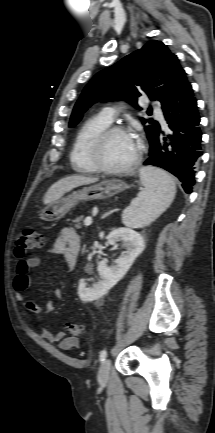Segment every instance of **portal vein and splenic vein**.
Wrapping results in <instances>:
<instances>
[{"label": "portal vein and splenic vein", "mask_w": 215, "mask_h": 433, "mask_svg": "<svg viewBox=\"0 0 215 433\" xmlns=\"http://www.w3.org/2000/svg\"><path fill=\"white\" fill-rule=\"evenodd\" d=\"M84 224H85V226H90L92 224V217L89 216V217L85 218Z\"/></svg>", "instance_id": "portal-vein-and-splenic-vein-1"}]
</instances>
